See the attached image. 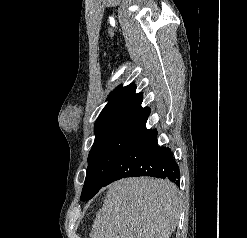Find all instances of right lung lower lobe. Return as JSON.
Masks as SVG:
<instances>
[{
  "instance_id": "obj_1",
  "label": "right lung lower lobe",
  "mask_w": 247,
  "mask_h": 238,
  "mask_svg": "<svg viewBox=\"0 0 247 238\" xmlns=\"http://www.w3.org/2000/svg\"><path fill=\"white\" fill-rule=\"evenodd\" d=\"M133 176L167 178L179 185V168L171 150L158 146L157 130L144 127L116 162L104 186L118 179Z\"/></svg>"
}]
</instances>
